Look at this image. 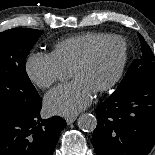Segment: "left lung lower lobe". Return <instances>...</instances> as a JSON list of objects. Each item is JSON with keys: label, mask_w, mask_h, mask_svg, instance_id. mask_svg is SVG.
<instances>
[{"label": "left lung lower lobe", "mask_w": 155, "mask_h": 155, "mask_svg": "<svg viewBox=\"0 0 155 155\" xmlns=\"http://www.w3.org/2000/svg\"><path fill=\"white\" fill-rule=\"evenodd\" d=\"M96 111L97 155H147L155 144V76L116 90Z\"/></svg>", "instance_id": "0a47b994"}]
</instances>
